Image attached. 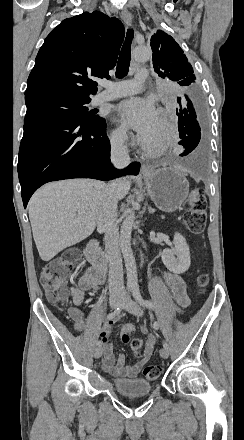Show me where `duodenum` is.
<instances>
[{
  "label": "duodenum",
  "mask_w": 244,
  "mask_h": 440,
  "mask_svg": "<svg viewBox=\"0 0 244 440\" xmlns=\"http://www.w3.org/2000/svg\"><path fill=\"white\" fill-rule=\"evenodd\" d=\"M86 258L94 268L105 273L109 264V258L98 248V242L91 240L86 248Z\"/></svg>",
  "instance_id": "1"
}]
</instances>
